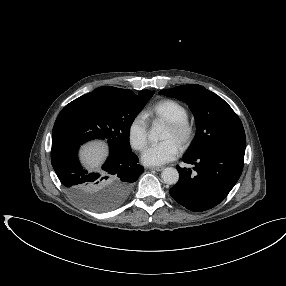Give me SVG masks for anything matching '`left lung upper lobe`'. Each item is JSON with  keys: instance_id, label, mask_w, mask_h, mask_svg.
Returning a JSON list of instances; mask_svg holds the SVG:
<instances>
[{"instance_id": "5c2ea615", "label": "left lung upper lobe", "mask_w": 286, "mask_h": 286, "mask_svg": "<svg viewBox=\"0 0 286 286\" xmlns=\"http://www.w3.org/2000/svg\"><path fill=\"white\" fill-rule=\"evenodd\" d=\"M159 94L186 102L194 114L197 132L186 155L216 148L245 152L243 125L233 109L218 95L197 84L161 90Z\"/></svg>"}]
</instances>
